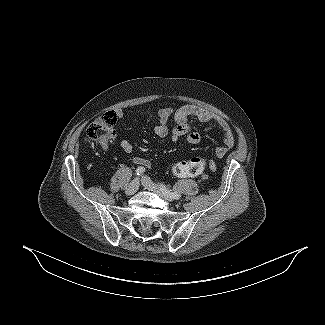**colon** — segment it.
Segmentation results:
<instances>
[{
  "instance_id": "1",
  "label": "colon",
  "mask_w": 325,
  "mask_h": 325,
  "mask_svg": "<svg viewBox=\"0 0 325 325\" xmlns=\"http://www.w3.org/2000/svg\"><path fill=\"white\" fill-rule=\"evenodd\" d=\"M116 116L114 113L107 112L94 121L87 129L86 142L88 144L100 143L106 145L115 137ZM206 162L201 158H192L188 161L175 163L171 171L177 177H190L204 171Z\"/></svg>"
}]
</instances>
